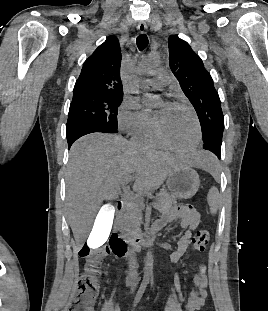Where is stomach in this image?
Listing matches in <instances>:
<instances>
[{"mask_svg": "<svg viewBox=\"0 0 268 311\" xmlns=\"http://www.w3.org/2000/svg\"><path fill=\"white\" fill-rule=\"evenodd\" d=\"M167 186L174 197L181 199L192 198L200 186L199 175L192 166L183 164L169 174Z\"/></svg>", "mask_w": 268, "mask_h": 311, "instance_id": "0dacf381", "label": "stomach"}]
</instances>
